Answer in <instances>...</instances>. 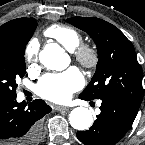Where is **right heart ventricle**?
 Listing matches in <instances>:
<instances>
[{"instance_id":"1","label":"right heart ventricle","mask_w":145,"mask_h":145,"mask_svg":"<svg viewBox=\"0 0 145 145\" xmlns=\"http://www.w3.org/2000/svg\"><path fill=\"white\" fill-rule=\"evenodd\" d=\"M45 34L54 38L69 51H73L82 41L81 33L66 25H52L45 30Z\"/></svg>"}]
</instances>
